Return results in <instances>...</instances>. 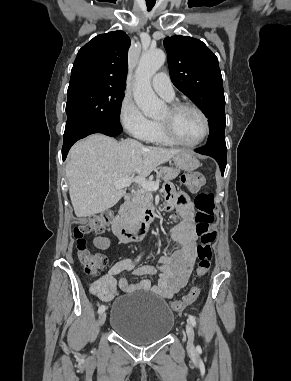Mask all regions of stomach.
Wrapping results in <instances>:
<instances>
[{
    "label": "stomach",
    "instance_id": "1",
    "mask_svg": "<svg viewBox=\"0 0 291 381\" xmlns=\"http://www.w3.org/2000/svg\"><path fill=\"white\" fill-rule=\"evenodd\" d=\"M173 161L177 169L187 172H192L199 166L197 158L193 155V153L188 151L177 154L173 158Z\"/></svg>",
    "mask_w": 291,
    "mask_h": 381
}]
</instances>
